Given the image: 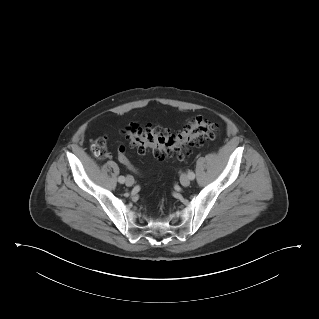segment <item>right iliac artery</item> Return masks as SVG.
Here are the masks:
<instances>
[{
    "label": "right iliac artery",
    "mask_w": 319,
    "mask_h": 319,
    "mask_svg": "<svg viewBox=\"0 0 319 319\" xmlns=\"http://www.w3.org/2000/svg\"><path fill=\"white\" fill-rule=\"evenodd\" d=\"M119 183L123 184L125 182V177L124 176H120L118 178Z\"/></svg>",
    "instance_id": "82829eb1"
}]
</instances>
